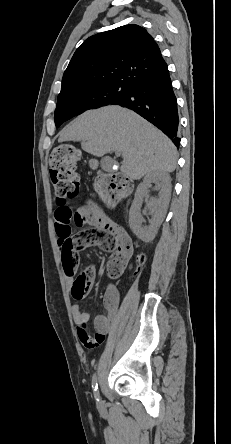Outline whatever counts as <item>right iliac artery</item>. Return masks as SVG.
Wrapping results in <instances>:
<instances>
[{
    "label": "right iliac artery",
    "instance_id": "obj_1",
    "mask_svg": "<svg viewBox=\"0 0 231 444\" xmlns=\"http://www.w3.org/2000/svg\"><path fill=\"white\" fill-rule=\"evenodd\" d=\"M92 388H93L94 396H95L96 400L99 401V392H98V383H97L96 374H94L93 378H92Z\"/></svg>",
    "mask_w": 231,
    "mask_h": 444
}]
</instances>
